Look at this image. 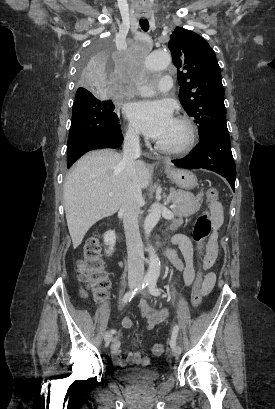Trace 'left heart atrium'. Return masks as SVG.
Here are the masks:
<instances>
[{
	"label": "left heart atrium",
	"mask_w": 275,
	"mask_h": 409,
	"mask_svg": "<svg viewBox=\"0 0 275 409\" xmlns=\"http://www.w3.org/2000/svg\"><path fill=\"white\" fill-rule=\"evenodd\" d=\"M126 112L153 139L160 136L173 122L172 109L163 101L131 103L126 107Z\"/></svg>",
	"instance_id": "obj_1"
}]
</instances>
